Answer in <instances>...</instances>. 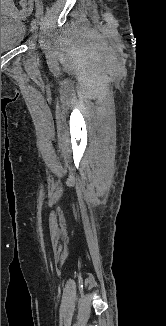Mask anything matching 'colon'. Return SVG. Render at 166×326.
Returning a JSON list of instances; mask_svg holds the SVG:
<instances>
[{"instance_id":"colon-1","label":"colon","mask_w":166,"mask_h":326,"mask_svg":"<svg viewBox=\"0 0 166 326\" xmlns=\"http://www.w3.org/2000/svg\"><path fill=\"white\" fill-rule=\"evenodd\" d=\"M19 7L23 13H26L30 9V4L27 2V0H20Z\"/></svg>"}]
</instances>
